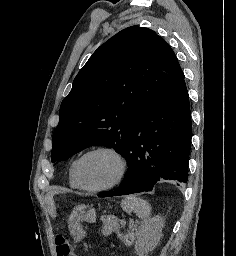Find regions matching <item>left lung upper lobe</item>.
<instances>
[{
	"instance_id": "obj_1",
	"label": "left lung upper lobe",
	"mask_w": 236,
	"mask_h": 256,
	"mask_svg": "<svg viewBox=\"0 0 236 256\" xmlns=\"http://www.w3.org/2000/svg\"><path fill=\"white\" fill-rule=\"evenodd\" d=\"M183 77L174 52L154 31H120L93 53L62 101L51 161L90 145L124 156L135 121Z\"/></svg>"
}]
</instances>
